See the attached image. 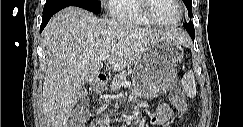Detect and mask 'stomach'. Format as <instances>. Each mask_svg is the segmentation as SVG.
Wrapping results in <instances>:
<instances>
[{
    "label": "stomach",
    "mask_w": 243,
    "mask_h": 127,
    "mask_svg": "<svg viewBox=\"0 0 243 127\" xmlns=\"http://www.w3.org/2000/svg\"><path fill=\"white\" fill-rule=\"evenodd\" d=\"M183 56V49L178 43L166 39L155 41L134 64L133 90L147 98L169 90L176 79V68Z\"/></svg>",
    "instance_id": "stomach-1"
}]
</instances>
